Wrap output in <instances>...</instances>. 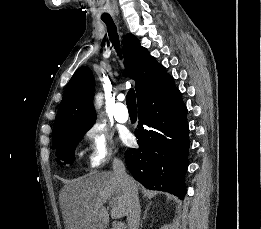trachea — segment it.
<instances>
[{
	"mask_svg": "<svg viewBox=\"0 0 261 229\" xmlns=\"http://www.w3.org/2000/svg\"><path fill=\"white\" fill-rule=\"evenodd\" d=\"M102 20H103V22L106 23L110 40H111L112 44L114 45V47L116 48V51L120 55L118 34H117L116 26H115L112 18L110 16H105V17H102ZM126 104H127L129 113L137 112L136 95H135V91L133 89H130L126 95Z\"/></svg>",
	"mask_w": 261,
	"mask_h": 229,
	"instance_id": "3493384b",
	"label": "trachea"
}]
</instances>
